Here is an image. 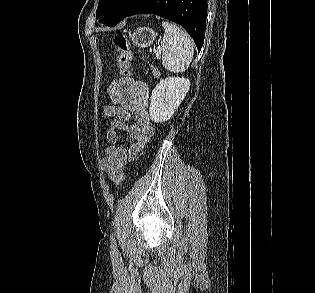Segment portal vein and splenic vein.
Listing matches in <instances>:
<instances>
[{
	"mask_svg": "<svg viewBox=\"0 0 315 293\" xmlns=\"http://www.w3.org/2000/svg\"><path fill=\"white\" fill-rule=\"evenodd\" d=\"M157 57H160L159 53L156 54Z\"/></svg>",
	"mask_w": 315,
	"mask_h": 293,
	"instance_id": "1",
	"label": "portal vein and splenic vein"
}]
</instances>
